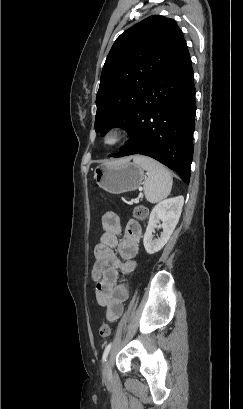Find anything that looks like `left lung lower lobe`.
<instances>
[{"label": "left lung lower lobe", "mask_w": 243, "mask_h": 409, "mask_svg": "<svg viewBox=\"0 0 243 409\" xmlns=\"http://www.w3.org/2000/svg\"><path fill=\"white\" fill-rule=\"evenodd\" d=\"M195 111L193 69L183 40L141 98L127 129L130 138L109 156H150L189 183Z\"/></svg>", "instance_id": "left-lung-lower-lobe-1"}]
</instances>
